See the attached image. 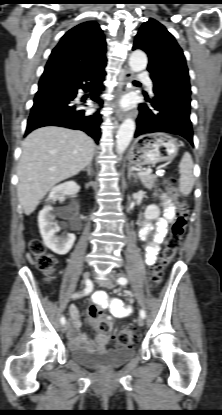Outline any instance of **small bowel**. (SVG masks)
<instances>
[{
  "label": "small bowel",
  "instance_id": "1",
  "mask_svg": "<svg viewBox=\"0 0 222 415\" xmlns=\"http://www.w3.org/2000/svg\"><path fill=\"white\" fill-rule=\"evenodd\" d=\"M158 200L163 206V217L156 222V230L152 232L149 224H144L140 229V238L146 242L145 261L153 264L156 261L159 245L164 240L169 222L173 221L176 214L175 204L167 194H160ZM92 300L100 308H108L110 315L108 319H120L128 317L132 313V307L125 305L118 298H110L104 291H97L93 294ZM70 323L72 332L70 334L71 345L84 349L104 350L108 343V337L99 333L94 341L88 340L87 336L81 332V321L76 306L70 307Z\"/></svg>",
  "mask_w": 222,
  "mask_h": 415
}]
</instances>
